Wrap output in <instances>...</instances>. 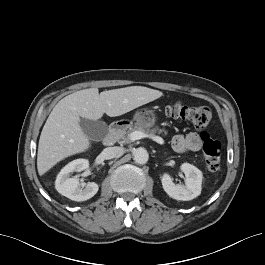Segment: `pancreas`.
Listing matches in <instances>:
<instances>
[{
    "label": "pancreas",
    "instance_id": "obj_1",
    "mask_svg": "<svg viewBox=\"0 0 265 265\" xmlns=\"http://www.w3.org/2000/svg\"><path fill=\"white\" fill-rule=\"evenodd\" d=\"M134 131H142L148 136H154L156 133L161 134L163 132V130L158 128L148 129V128H143L140 125H134L130 126L127 130L124 129L119 131L116 134L115 138L120 144L129 143L131 141L130 134Z\"/></svg>",
    "mask_w": 265,
    "mask_h": 265
}]
</instances>
